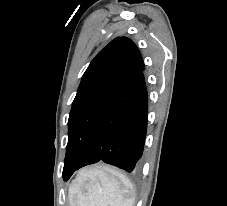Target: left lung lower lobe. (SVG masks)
<instances>
[{
	"mask_svg": "<svg viewBox=\"0 0 227 206\" xmlns=\"http://www.w3.org/2000/svg\"><path fill=\"white\" fill-rule=\"evenodd\" d=\"M143 70L108 104L82 159L73 168L63 170L65 181L75 170L100 160L128 172L135 169L147 130L148 96Z\"/></svg>",
	"mask_w": 227,
	"mask_h": 206,
	"instance_id": "obj_1",
	"label": "left lung lower lobe"
}]
</instances>
